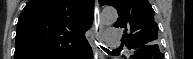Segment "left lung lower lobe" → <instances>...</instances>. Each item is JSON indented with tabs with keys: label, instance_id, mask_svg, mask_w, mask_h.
<instances>
[{
	"label": "left lung lower lobe",
	"instance_id": "left-lung-lower-lobe-1",
	"mask_svg": "<svg viewBox=\"0 0 193 59\" xmlns=\"http://www.w3.org/2000/svg\"><path fill=\"white\" fill-rule=\"evenodd\" d=\"M163 54L156 47H141L136 50L134 59H163Z\"/></svg>",
	"mask_w": 193,
	"mask_h": 59
}]
</instances>
